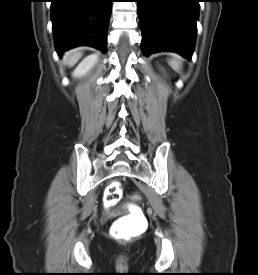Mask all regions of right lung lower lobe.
<instances>
[{"label": "right lung lower lobe", "instance_id": "obj_1", "mask_svg": "<svg viewBox=\"0 0 258 275\" xmlns=\"http://www.w3.org/2000/svg\"><path fill=\"white\" fill-rule=\"evenodd\" d=\"M58 54L81 45L105 52L112 0H51Z\"/></svg>", "mask_w": 258, "mask_h": 275}]
</instances>
